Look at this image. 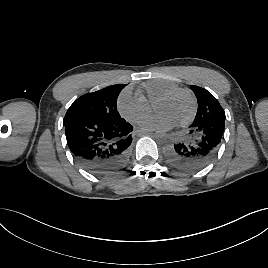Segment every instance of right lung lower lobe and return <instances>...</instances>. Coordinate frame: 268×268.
Segmentation results:
<instances>
[{"label":"right lung lower lobe","mask_w":268,"mask_h":268,"mask_svg":"<svg viewBox=\"0 0 268 268\" xmlns=\"http://www.w3.org/2000/svg\"><path fill=\"white\" fill-rule=\"evenodd\" d=\"M64 126L67 145L73 157L90 173L108 175L127 160L133 127L123 118L106 121L77 117Z\"/></svg>","instance_id":"1"}]
</instances>
